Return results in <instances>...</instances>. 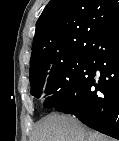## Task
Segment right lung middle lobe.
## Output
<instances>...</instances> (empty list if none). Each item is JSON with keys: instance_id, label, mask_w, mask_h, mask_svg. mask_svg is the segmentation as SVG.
Returning a JSON list of instances; mask_svg holds the SVG:
<instances>
[{"instance_id": "right-lung-middle-lobe-1", "label": "right lung middle lobe", "mask_w": 119, "mask_h": 141, "mask_svg": "<svg viewBox=\"0 0 119 141\" xmlns=\"http://www.w3.org/2000/svg\"><path fill=\"white\" fill-rule=\"evenodd\" d=\"M89 67V58L79 57L64 65L30 74L31 94L36 98L46 97L44 105L47 108L63 104Z\"/></svg>"}]
</instances>
